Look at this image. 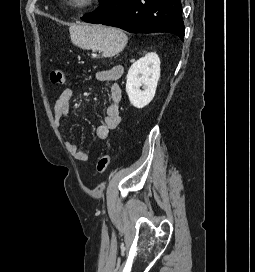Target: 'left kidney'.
Masks as SVG:
<instances>
[{
	"label": "left kidney",
	"mask_w": 255,
	"mask_h": 272,
	"mask_svg": "<svg viewBox=\"0 0 255 272\" xmlns=\"http://www.w3.org/2000/svg\"><path fill=\"white\" fill-rule=\"evenodd\" d=\"M159 78L160 58L156 53H147L133 63L126 81V92L130 103L136 108L148 105L155 96Z\"/></svg>",
	"instance_id": "obj_1"
}]
</instances>
